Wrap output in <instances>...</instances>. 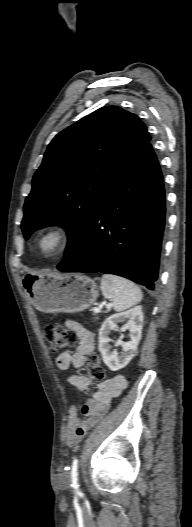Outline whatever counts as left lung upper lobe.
I'll return each instance as SVG.
<instances>
[{
    "label": "left lung upper lobe",
    "instance_id": "5c2ea615",
    "mask_svg": "<svg viewBox=\"0 0 192 527\" xmlns=\"http://www.w3.org/2000/svg\"><path fill=\"white\" fill-rule=\"evenodd\" d=\"M150 140L140 119L118 106L100 108L56 135L25 201V238L62 225L67 254L111 184Z\"/></svg>",
    "mask_w": 192,
    "mask_h": 527
}]
</instances>
